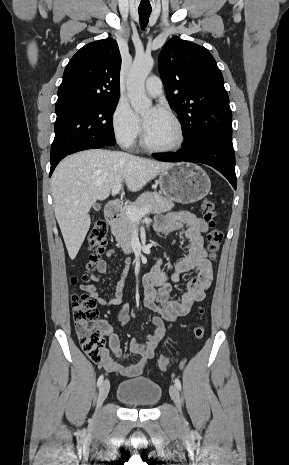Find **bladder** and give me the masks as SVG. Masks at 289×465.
I'll return each instance as SVG.
<instances>
[{
	"instance_id": "31cf9c89",
	"label": "bladder",
	"mask_w": 289,
	"mask_h": 465,
	"mask_svg": "<svg viewBox=\"0 0 289 465\" xmlns=\"http://www.w3.org/2000/svg\"><path fill=\"white\" fill-rule=\"evenodd\" d=\"M161 387L145 378L135 377L119 383L116 398L126 406L152 408L161 399Z\"/></svg>"
}]
</instances>
